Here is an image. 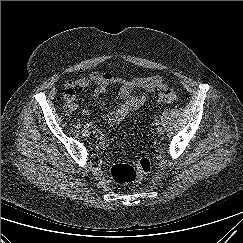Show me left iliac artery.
Segmentation results:
<instances>
[{"mask_svg":"<svg viewBox=\"0 0 243 243\" xmlns=\"http://www.w3.org/2000/svg\"><path fill=\"white\" fill-rule=\"evenodd\" d=\"M156 125H160V123L159 122H156Z\"/></svg>","mask_w":243,"mask_h":243,"instance_id":"obj_1","label":"left iliac artery"}]
</instances>
